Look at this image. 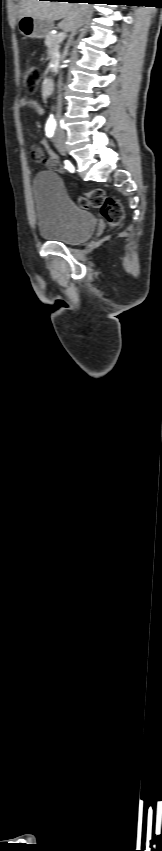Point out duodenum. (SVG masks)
<instances>
[{
    "label": "duodenum",
    "instance_id": "1",
    "mask_svg": "<svg viewBox=\"0 0 162 851\" xmlns=\"http://www.w3.org/2000/svg\"><path fill=\"white\" fill-rule=\"evenodd\" d=\"M54 82L51 78H46L42 83V92L48 96L53 92Z\"/></svg>",
    "mask_w": 162,
    "mask_h": 851
}]
</instances>
